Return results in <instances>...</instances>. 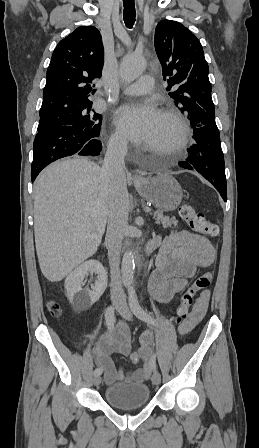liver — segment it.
<instances>
[{
  "label": "liver",
  "mask_w": 259,
  "mask_h": 448,
  "mask_svg": "<svg viewBox=\"0 0 259 448\" xmlns=\"http://www.w3.org/2000/svg\"><path fill=\"white\" fill-rule=\"evenodd\" d=\"M101 168L83 156L53 162L34 182V234L41 272L61 282L101 244L109 196Z\"/></svg>",
  "instance_id": "6515ba94"
}]
</instances>
